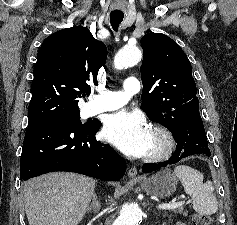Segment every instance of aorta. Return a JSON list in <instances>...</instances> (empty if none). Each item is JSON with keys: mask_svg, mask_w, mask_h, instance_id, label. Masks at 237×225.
<instances>
[{"mask_svg": "<svg viewBox=\"0 0 237 225\" xmlns=\"http://www.w3.org/2000/svg\"><path fill=\"white\" fill-rule=\"evenodd\" d=\"M142 58L141 50L136 46H126L121 49L114 58L116 69L136 65ZM142 219V211L136 205H125L112 225H139Z\"/></svg>", "mask_w": 237, "mask_h": 225, "instance_id": "obj_1", "label": "aorta"}]
</instances>
